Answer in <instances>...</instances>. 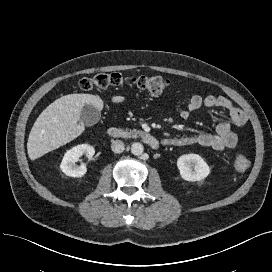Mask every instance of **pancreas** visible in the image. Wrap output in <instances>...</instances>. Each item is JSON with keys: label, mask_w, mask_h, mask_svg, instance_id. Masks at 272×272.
Listing matches in <instances>:
<instances>
[{"label": "pancreas", "mask_w": 272, "mask_h": 272, "mask_svg": "<svg viewBox=\"0 0 272 272\" xmlns=\"http://www.w3.org/2000/svg\"><path fill=\"white\" fill-rule=\"evenodd\" d=\"M143 134L142 131L136 130V129H125L122 131V137L123 138H137Z\"/></svg>", "instance_id": "1"}]
</instances>
